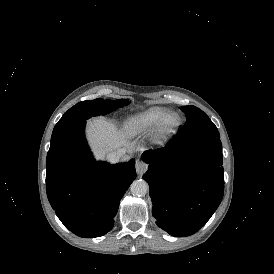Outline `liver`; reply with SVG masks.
I'll list each match as a JSON object with an SVG mask.
<instances>
[{
	"mask_svg": "<svg viewBox=\"0 0 274 274\" xmlns=\"http://www.w3.org/2000/svg\"><path fill=\"white\" fill-rule=\"evenodd\" d=\"M88 135L98 157H105L108 152L115 151L122 145L116 128L104 118L94 120L89 125Z\"/></svg>",
	"mask_w": 274,
	"mask_h": 274,
	"instance_id": "6515ba94",
	"label": "liver"
}]
</instances>
